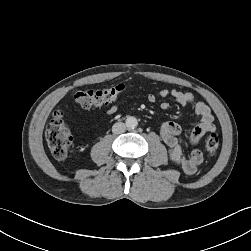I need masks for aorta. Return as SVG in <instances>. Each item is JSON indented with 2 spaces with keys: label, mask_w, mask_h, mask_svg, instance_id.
Segmentation results:
<instances>
[{
  "label": "aorta",
  "mask_w": 251,
  "mask_h": 251,
  "mask_svg": "<svg viewBox=\"0 0 251 251\" xmlns=\"http://www.w3.org/2000/svg\"><path fill=\"white\" fill-rule=\"evenodd\" d=\"M138 125V121L135 117L129 116L126 119V127L129 129H133Z\"/></svg>",
  "instance_id": "aorta-1"
}]
</instances>
